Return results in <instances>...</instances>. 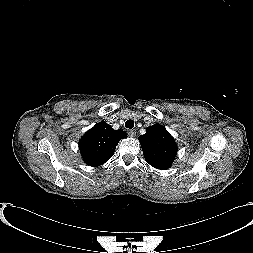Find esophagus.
I'll use <instances>...</instances> for the list:
<instances>
[{
    "instance_id": "esophagus-1",
    "label": "esophagus",
    "mask_w": 253,
    "mask_h": 253,
    "mask_svg": "<svg viewBox=\"0 0 253 253\" xmlns=\"http://www.w3.org/2000/svg\"><path fill=\"white\" fill-rule=\"evenodd\" d=\"M128 135L130 137H134L136 135V130L132 129V130H128Z\"/></svg>"
}]
</instances>
